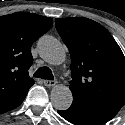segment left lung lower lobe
Segmentation results:
<instances>
[{
    "label": "left lung lower lobe",
    "instance_id": "obj_1",
    "mask_svg": "<svg viewBox=\"0 0 125 125\" xmlns=\"http://www.w3.org/2000/svg\"><path fill=\"white\" fill-rule=\"evenodd\" d=\"M121 109L114 104L75 105L58 113L74 125H102L110 121Z\"/></svg>",
    "mask_w": 125,
    "mask_h": 125
}]
</instances>
